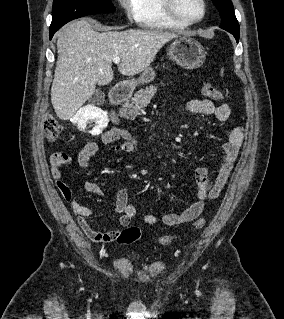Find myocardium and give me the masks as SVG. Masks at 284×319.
Here are the masks:
<instances>
[{
    "label": "myocardium",
    "mask_w": 284,
    "mask_h": 319,
    "mask_svg": "<svg viewBox=\"0 0 284 319\" xmlns=\"http://www.w3.org/2000/svg\"><path fill=\"white\" fill-rule=\"evenodd\" d=\"M163 1H164V8L168 16L174 21L186 26H191L203 21L204 18L206 17L207 10H208L207 1L201 0L202 7H203L202 15L198 19L187 20L178 13L177 7H176V0H163Z\"/></svg>",
    "instance_id": "f54148a6"
}]
</instances>
